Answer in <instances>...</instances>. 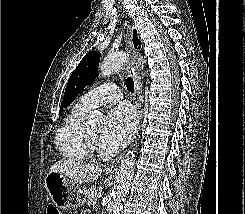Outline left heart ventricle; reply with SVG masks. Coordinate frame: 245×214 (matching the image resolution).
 Returning a JSON list of instances; mask_svg holds the SVG:
<instances>
[{
  "label": "left heart ventricle",
  "instance_id": "b2bd125f",
  "mask_svg": "<svg viewBox=\"0 0 245 214\" xmlns=\"http://www.w3.org/2000/svg\"><path fill=\"white\" fill-rule=\"evenodd\" d=\"M86 130H87V133L89 134V136L95 142H97V136H98L99 128L97 126H92V127H87Z\"/></svg>",
  "mask_w": 245,
  "mask_h": 214
}]
</instances>
